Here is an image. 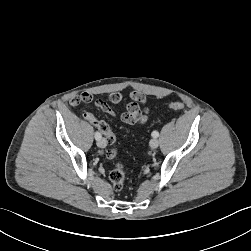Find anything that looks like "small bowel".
<instances>
[{
    "mask_svg": "<svg viewBox=\"0 0 251 251\" xmlns=\"http://www.w3.org/2000/svg\"><path fill=\"white\" fill-rule=\"evenodd\" d=\"M123 99L120 92H113L109 95L108 101L97 99L94 101L96 108L102 112L110 115L113 118H119L124 124L128 126H138L146 123L148 119V108L146 107V97L139 91H131L129 94L130 102L122 112H116L110 104H119ZM93 101V96L90 93H82L71 99L72 105H78L79 103H90Z\"/></svg>",
    "mask_w": 251,
    "mask_h": 251,
    "instance_id": "c3829d8e",
    "label": "small bowel"
}]
</instances>
